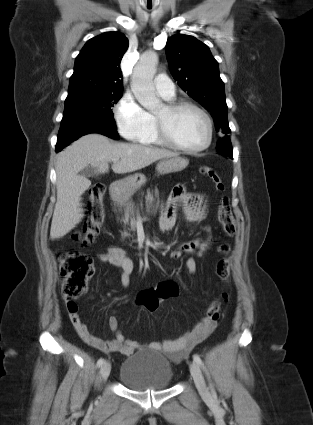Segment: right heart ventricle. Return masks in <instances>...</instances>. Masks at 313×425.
<instances>
[{
	"label": "right heart ventricle",
	"mask_w": 313,
	"mask_h": 425,
	"mask_svg": "<svg viewBox=\"0 0 313 425\" xmlns=\"http://www.w3.org/2000/svg\"><path fill=\"white\" fill-rule=\"evenodd\" d=\"M166 100L170 101L172 99H166ZM152 119H153V127L151 131L145 137H143L139 142L149 146H162L164 144L159 140L156 133L155 119L153 117Z\"/></svg>",
	"instance_id": "1"
}]
</instances>
